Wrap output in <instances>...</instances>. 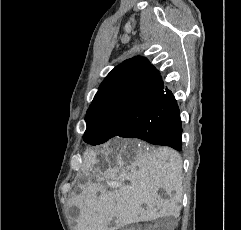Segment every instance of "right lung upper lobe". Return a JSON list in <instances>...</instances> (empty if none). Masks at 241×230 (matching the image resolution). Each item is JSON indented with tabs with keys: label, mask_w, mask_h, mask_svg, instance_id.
I'll return each mask as SVG.
<instances>
[{
	"label": "right lung upper lobe",
	"mask_w": 241,
	"mask_h": 230,
	"mask_svg": "<svg viewBox=\"0 0 241 230\" xmlns=\"http://www.w3.org/2000/svg\"><path fill=\"white\" fill-rule=\"evenodd\" d=\"M162 85L158 71L145 57L127 59L116 66L100 85L87 111L86 122L115 110L130 111L149 105Z\"/></svg>",
	"instance_id": "obj_1"
}]
</instances>
